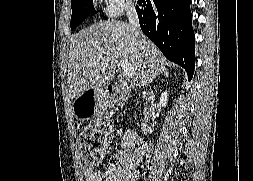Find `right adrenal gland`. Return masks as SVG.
<instances>
[{"label":"right adrenal gland","mask_w":253,"mask_h":181,"mask_svg":"<svg viewBox=\"0 0 253 181\" xmlns=\"http://www.w3.org/2000/svg\"><path fill=\"white\" fill-rule=\"evenodd\" d=\"M162 75H164L165 77H168L169 76V71L168 70H163L161 72Z\"/></svg>","instance_id":"obj_1"}]
</instances>
